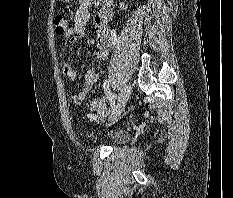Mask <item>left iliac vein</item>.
I'll return each instance as SVG.
<instances>
[{
	"label": "left iliac vein",
	"mask_w": 233,
	"mask_h": 198,
	"mask_svg": "<svg viewBox=\"0 0 233 198\" xmlns=\"http://www.w3.org/2000/svg\"><path fill=\"white\" fill-rule=\"evenodd\" d=\"M132 86L131 84H126L120 91L118 96V101L115 109L112 112L111 120H115L124 110L125 105L131 95Z\"/></svg>",
	"instance_id": "1"
}]
</instances>
